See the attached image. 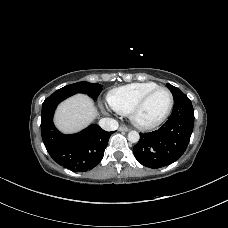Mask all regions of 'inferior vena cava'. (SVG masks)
<instances>
[{
	"label": "inferior vena cava",
	"mask_w": 228,
	"mask_h": 228,
	"mask_svg": "<svg viewBox=\"0 0 228 228\" xmlns=\"http://www.w3.org/2000/svg\"><path fill=\"white\" fill-rule=\"evenodd\" d=\"M99 126L106 131H114L118 128L119 124L115 119L103 118L99 121Z\"/></svg>",
	"instance_id": "1"
}]
</instances>
